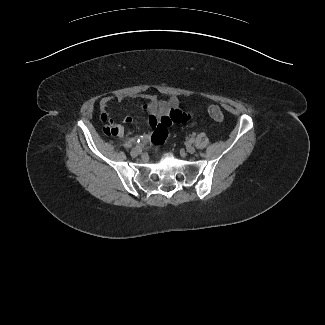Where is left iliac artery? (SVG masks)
Segmentation results:
<instances>
[{
    "label": "left iliac artery",
    "mask_w": 325,
    "mask_h": 325,
    "mask_svg": "<svg viewBox=\"0 0 325 325\" xmlns=\"http://www.w3.org/2000/svg\"><path fill=\"white\" fill-rule=\"evenodd\" d=\"M190 142H191V143H194V142H195L194 138H191V139H190Z\"/></svg>",
    "instance_id": "left-iliac-artery-1"
}]
</instances>
